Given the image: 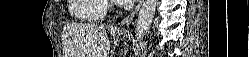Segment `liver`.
<instances>
[{
	"mask_svg": "<svg viewBox=\"0 0 249 57\" xmlns=\"http://www.w3.org/2000/svg\"><path fill=\"white\" fill-rule=\"evenodd\" d=\"M70 57H107L110 41L103 25L72 23L65 27Z\"/></svg>",
	"mask_w": 249,
	"mask_h": 57,
	"instance_id": "liver-1",
	"label": "liver"
}]
</instances>
